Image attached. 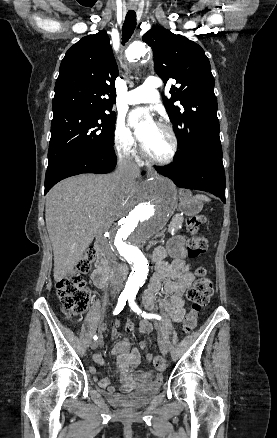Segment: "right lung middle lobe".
<instances>
[{
	"instance_id": "obj_1",
	"label": "right lung middle lobe",
	"mask_w": 277,
	"mask_h": 438,
	"mask_svg": "<svg viewBox=\"0 0 277 438\" xmlns=\"http://www.w3.org/2000/svg\"><path fill=\"white\" fill-rule=\"evenodd\" d=\"M115 114L78 113L54 116L48 166L65 158L98 151L114 152Z\"/></svg>"
}]
</instances>
